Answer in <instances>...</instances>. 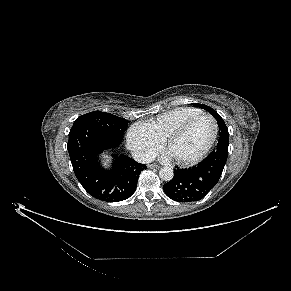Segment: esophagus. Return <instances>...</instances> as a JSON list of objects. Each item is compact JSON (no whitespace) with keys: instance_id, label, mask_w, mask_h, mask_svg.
<instances>
[{"instance_id":"1","label":"esophagus","mask_w":291,"mask_h":291,"mask_svg":"<svg viewBox=\"0 0 291 291\" xmlns=\"http://www.w3.org/2000/svg\"><path fill=\"white\" fill-rule=\"evenodd\" d=\"M148 168H150V169H159L160 166L159 165H156V164H149L148 165Z\"/></svg>"}]
</instances>
